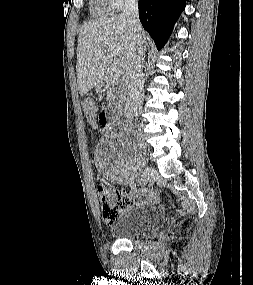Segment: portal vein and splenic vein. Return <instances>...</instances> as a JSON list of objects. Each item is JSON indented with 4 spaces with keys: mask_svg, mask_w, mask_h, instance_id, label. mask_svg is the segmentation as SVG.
<instances>
[{
    "mask_svg": "<svg viewBox=\"0 0 253 285\" xmlns=\"http://www.w3.org/2000/svg\"><path fill=\"white\" fill-rule=\"evenodd\" d=\"M111 55L112 57H115V60L113 64L111 65V71L113 74V78H118L121 75V67L119 65V61L116 58V50L114 48H111Z\"/></svg>",
    "mask_w": 253,
    "mask_h": 285,
    "instance_id": "obj_1",
    "label": "portal vein and splenic vein"
}]
</instances>
